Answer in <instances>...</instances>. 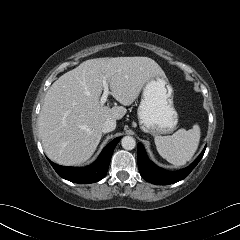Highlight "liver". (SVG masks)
Listing matches in <instances>:
<instances>
[{"instance_id": "obj_1", "label": "liver", "mask_w": 240, "mask_h": 240, "mask_svg": "<svg viewBox=\"0 0 240 240\" xmlns=\"http://www.w3.org/2000/svg\"><path fill=\"white\" fill-rule=\"evenodd\" d=\"M165 76L148 57L96 58L63 74L46 93L38 117L39 135L46 155L61 165H77L95 152L107 119L119 120L146 82ZM106 78L111 95L123 106L100 104Z\"/></svg>"}]
</instances>
